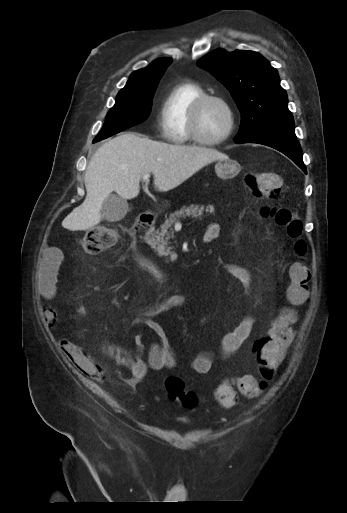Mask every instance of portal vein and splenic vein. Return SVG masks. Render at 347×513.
Instances as JSON below:
<instances>
[{"instance_id": "18ae733b", "label": "portal vein and splenic vein", "mask_w": 347, "mask_h": 513, "mask_svg": "<svg viewBox=\"0 0 347 513\" xmlns=\"http://www.w3.org/2000/svg\"><path fill=\"white\" fill-rule=\"evenodd\" d=\"M149 177H150V175H149V174H145V175L143 176V180H144V181H147V180L149 179ZM175 226H176V227H180V226H181V223H180V222H176V223H175Z\"/></svg>"}]
</instances>
